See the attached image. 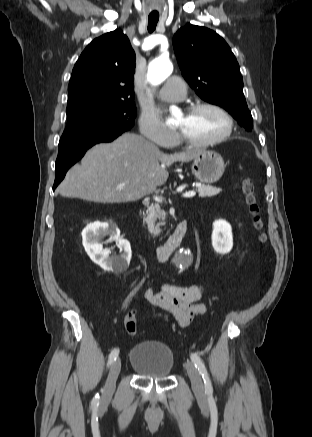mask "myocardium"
Returning a JSON list of instances; mask_svg holds the SVG:
<instances>
[{
	"mask_svg": "<svg viewBox=\"0 0 312 437\" xmlns=\"http://www.w3.org/2000/svg\"><path fill=\"white\" fill-rule=\"evenodd\" d=\"M203 109H210L213 111H216L217 113H219L226 122V127L225 130L218 136L205 140V141H195L192 140L190 138H188L182 131H179L178 136H179V141L187 146H191V147H208V146H212V145H216L218 143L223 142L224 140H226L227 138L230 137V135L232 134L233 130H234V119L232 117V115L221 105L216 104V103H212V102H199V103H195L192 104L189 108H188V114H192L195 113L197 111L203 110Z\"/></svg>",
	"mask_w": 312,
	"mask_h": 437,
	"instance_id": "myocardium-1",
	"label": "myocardium"
}]
</instances>
